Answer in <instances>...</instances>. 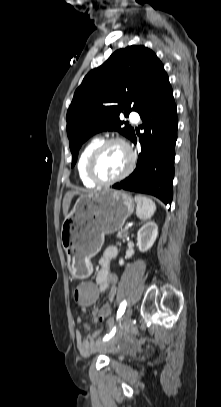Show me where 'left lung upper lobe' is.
Listing matches in <instances>:
<instances>
[{
    "label": "left lung upper lobe",
    "mask_w": 221,
    "mask_h": 407,
    "mask_svg": "<svg viewBox=\"0 0 221 407\" xmlns=\"http://www.w3.org/2000/svg\"><path fill=\"white\" fill-rule=\"evenodd\" d=\"M166 76L156 54L135 45L115 51L91 70L75 91L67 112L72 167L81 145L97 132L116 130L132 139L134 129L120 120V114L139 112Z\"/></svg>",
    "instance_id": "obj_1"
}]
</instances>
